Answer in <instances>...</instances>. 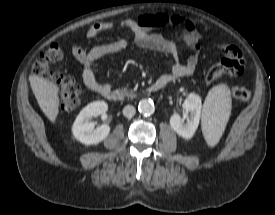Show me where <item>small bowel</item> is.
<instances>
[{
    "instance_id": "c3829d8e",
    "label": "small bowel",
    "mask_w": 275,
    "mask_h": 215,
    "mask_svg": "<svg viewBox=\"0 0 275 215\" xmlns=\"http://www.w3.org/2000/svg\"><path fill=\"white\" fill-rule=\"evenodd\" d=\"M167 17L163 14H143L137 19H127L120 25L129 29L133 35L137 46L158 51L170 56L173 61L172 71L160 78L168 80V84L178 78L190 76L196 69L202 46V35L194 25L187 21L189 26H183L176 30L177 35L182 38L191 50V55L186 62H181L179 57V49L176 43L169 40L160 33L153 32V29L166 24ZM117 24L112 22H97L91 25L86 31V37L91 39L99 33L112 30ZM128 42L125 39H118L112 42L96 45L87 49L79 44H75L72 48L74 57L82 64V80L87 88L103 94L110 90V86L100 82L93 69V64L100 58L120 53L126 50Z\"/></svg>"
}]
</instances>
